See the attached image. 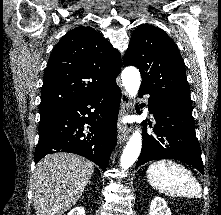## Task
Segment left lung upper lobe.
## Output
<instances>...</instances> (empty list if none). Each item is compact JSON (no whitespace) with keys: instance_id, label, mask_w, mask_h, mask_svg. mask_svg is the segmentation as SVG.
<instances>
[{"instance_id":"left-lung-upper-lobe-1","label":"left lung upper lobe","mask_w":221,"mask_h":215,"mask_svg":"<svg viewBox=\"0 0 221 215\" xmlns=\"http://www.w3.org/2000/svg\"><path fill=\"white\" fill-rule=\"evenodd\" d=\"M124 64L140 70V88L151 96L192 107L184 61L174 41L160 28L138 26L131 36Z\"/></svg>"}]
</instances>
